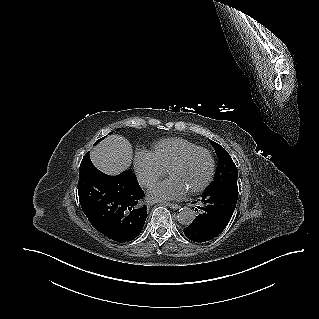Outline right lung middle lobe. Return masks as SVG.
I'll list each match as a JSON object with an SVG mask.
<instances>
[{
	"mask_svg": "<svg viewBox=\"0 0 319 319\" xmlns=\"http://www.w3.org/2000/svg\"><path fill=\"white\" fill-rule=\"evenodd\" d=\"M117 130H119V129H117ZM111 134V133H110ZM103 139V138H102ZM102 139H100V140H98V141H96V143L94 144V145H96L99 141H101Z\"/></svg>",
	"mask_w": 319,
	"mask_h": 319,
	"instance_id": "dd1d6c3e",
	"label": "right lung middle lobe"
}]
</instances>
